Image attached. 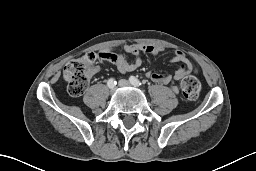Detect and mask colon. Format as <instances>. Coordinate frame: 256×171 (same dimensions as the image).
Wrapping results in <instances>:
<instances>
[{
  "label": "colon",
  "mask_w": 256,
  "mask_h": 171,
  "mask_svg": "<svg viewBox=\"0 0 256 171\" xmlns=\"http://www.w3.org/2000/svg\"><path fill=\"white\" fill-rule=\"evenodd\" d=\"M100 56L87 53L66 64L63 76L67 82L68 92L77 97L85 91L89 78L96 66L100 63ZM182 94L189 101H196L201 90L200 81L194 76H187L181 84Z\"/></svg>",
  "instance_id": "5ec220e1"
}]
</instances>
